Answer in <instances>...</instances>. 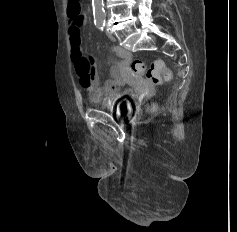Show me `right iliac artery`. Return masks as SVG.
Instances as JSON below:
<instances>
[{
  "label": "right iliac artery",
  "mask_w": 237,
  "mask_h": 232,
  "mask_svg": "<svg viewBox=\"0 0 237 232\" xmlns=\"http://www.w3.org/2000/svg\"><path fill=\"white\" fill-rule=\"evenodd\" d=\"M97 27H98V29H100L101 31L104 30V25H101V24H100V25H98Z\"/></svg>",
  "instance_id": "82829eb1"
}]
</instances>
